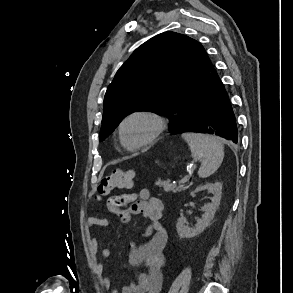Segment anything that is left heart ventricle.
Here are the masks:
<instances>
[{"label":"left heart ventricle","instance_id":"left-heart-ventricle-1","mask_svg":"<svg viewBox=\"0 0 293 293\" xmlns=\"http://www.w3.org/2000/svg\"><path fill=\"white\" fill-rule=\"evenodd\" d=\"M152 130L153 124L149 119L136 117L124 126V137L127 143L136 144L148 138Z\"/></svg>","mask_w":293,"mask_h":293}]
</instances>
